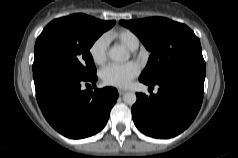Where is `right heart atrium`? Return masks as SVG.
<instances>
[{
	"mask_svg": "<svg viewBox=\"0 0 238 158\" xmlns=\"http://www.w3.org/2000/svg\"><path fill=\"white\" fill-rule=\"evenodd\" d=\"M108 39L102 35L96 38L89 47V55L97 65H102L107 59Z\"/></svg>",
	"mask_w": 238,
	"mask_h": 158,
	"instance_id": "obj_1",
	"label": "right heart atrium"
}]
</instances>
